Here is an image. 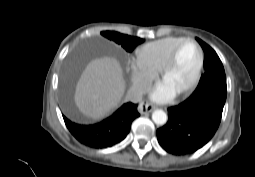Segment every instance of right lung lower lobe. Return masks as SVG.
<instances>
[{
	"instance_id": "obj_1",
	"label": "right lung lower lobe",
	"mask_w": 255,
	"mask_h": 177,
	"mask_svg": "<svg viewBox=\"0 0 255 177\" xmlns=\"http://www.w3.org/2000/svg\"><path fill=\"white\" fill-rule=\"evenodd\" d=\"M137 105L124 104L111 117L94 125L74 123L63 116L71 134L82 144L96 149L108 148L121 142L129 133L132 121L139 117Z\"/></svg>"
}]
</instances>
